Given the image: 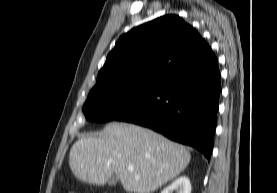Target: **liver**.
Returning a JSON list of instances; mask_svg holds the SVG:
<instances>
[{
  "mask_svg": "<svg viewBox=\"0 0 277 193\" xmlns=\"http://www.w3.org/2000/svg\"><path fill=\"white\" fill-rule=\"evenodd\" d=\"M190 159L184 146L161 134L111 122L99 136H85L74 143L69 166L76 178L90 184L104 185L115 174L126 191L151 193L176 178Z\"/></svg>",
  "mask_w": 277,
  "mask_h": 193,
  "instance_id": "1",
  "label": "liver"
}]
</instances>
